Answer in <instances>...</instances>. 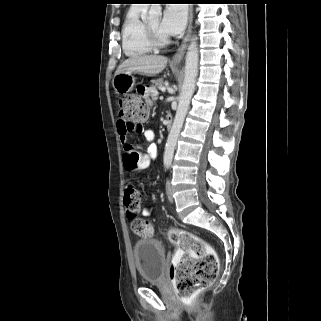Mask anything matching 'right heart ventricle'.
I'll list each match as a JSON object with an SVG mask.
<instances>
[{
    "mask_svg": "<svg viewBox=\"0 0 321 321\" xmlns=\"http://www.w3.org/2000/svg\"><path fill=\"white\" fill-rule=\"evenodd\" d=\"M145 5H132L123 22L121 37L122 48L128 57H140L152 52L153 47L147 41L145 35V22L141 14L146 10Z\"/></svg>",
    "mask_w": 321,
    "mask_h": 321,
    "instance_id": "right-heart-ventricle-1",
    "label": "right heart ventricle"
}]
</instances>
